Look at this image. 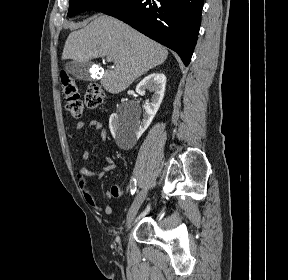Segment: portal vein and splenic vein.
Returning a JSON list of instances; mask_svg holds the SVG:
<instances>
[{"instance_id": "1", "label": "portal vein and splenic vein", "mask_w": 288, "mask_h": 280, "mask_svg": "<svg viewBox=\"0 0 288 280\" xmlns=\"http://www.w3.org/2000/svg\"><path fill=\"white\" fill-rule=\"evenodd\" d=\"M107 61H108V62H111V61H112V58L108 56V57H107Z\"/></svg>"}]
</instances>
